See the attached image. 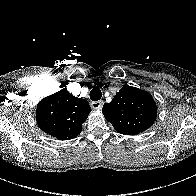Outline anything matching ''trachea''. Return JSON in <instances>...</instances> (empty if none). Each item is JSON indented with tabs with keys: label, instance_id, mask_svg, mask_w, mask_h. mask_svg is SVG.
<instances>
[{
	"label": "trachea",
	"instance_id": "1",
	"mask_svg": "<svg viewBox=\"0 0 196 196\" xmlns=\"http://www.w3.org/2000/svg\"><path fill=\"white\" fill-rule=\"evenodd\" d=\"M101 97H102V92L98 87H95L90 91V99L92 101H98L101 99Z\"/></svg>",
	"mask_w": 196,
	"mask_h": 196
}]
</instances>
